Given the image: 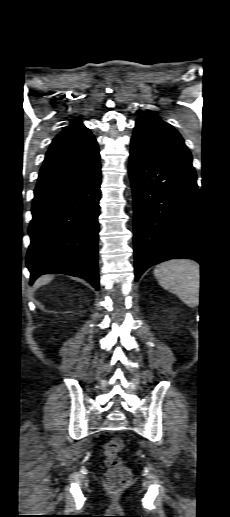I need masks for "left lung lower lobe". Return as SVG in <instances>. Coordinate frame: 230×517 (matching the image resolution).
Wrapping results in <instances>:
<instances>
[{
	"instance_id": "obj_1",
	"label": "left lung lower lobe",
	"mask_w": 230,
	"mask_h": 517,
	"mask_svg": "<svg viewBox=\"0 0 230 517\" xmlns=\"http://www.w3.org/2000/svg\"><path fill=\"white\" fill-rule=\"evenodd\" d=\"M129 176L134 200L135 281L160 262H203L199 247V192L191 165L131 147Z\"/></svg>"
}]
</instances>
